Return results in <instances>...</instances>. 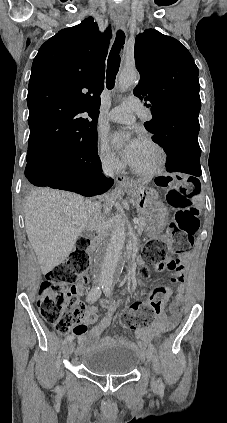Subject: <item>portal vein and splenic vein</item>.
<instances>
[{"mask_svg":"<svg viewBox=\"0 0 227 423\" xmlns=\"http://www.w3.org/2000/svg\"><path fill=\"white\" fill-rule=\"evenodd\" d=\"M133 221H134V223H138V221H139L138 217H134Z\"/></svg>","mask_w":227,"mask_h":423,"instance_id":"18ae733b","label":"portal vein and splenic vein"}]
</instances>
